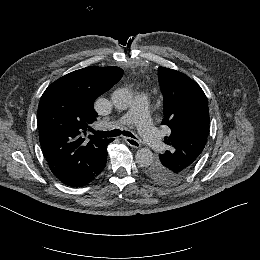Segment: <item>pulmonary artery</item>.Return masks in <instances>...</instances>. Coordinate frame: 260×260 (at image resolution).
I'll list each match as a JSON object with an SVG mask.
<instances>
[{"mask_svg": "<svg viewBox=\"0 0 260 260\" xmlns=\"http://www.w3.org/2000/svg\"><path fill=\"white\" fill-rule=\"evenodd\" d=\"M126 122L129 125L140 124L143 135L153 151H160L163 148V141L156 131L152 116L149 114L148 102L145 99H138L135 102V108L126 115Z\"/></svg>", "mask_w": 260, "mask_h": 260, "instance_id": "obj_1", "label": "pulmonary artery"}]
</instances>
